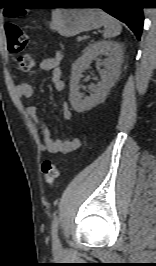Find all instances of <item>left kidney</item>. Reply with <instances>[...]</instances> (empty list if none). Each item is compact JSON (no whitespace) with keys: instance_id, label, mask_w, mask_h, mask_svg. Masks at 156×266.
Wrapping results in <instances>:
<instances>
[{"instance_id":"1","label":"left kidney","mask_w":156,"mask_h":266,"mask_svg":"<svg viewBox=\"0 0 156 266\" xmlns=\"http://www.w3.org/2000/svg\"><path fill=\"white\" fill-rule=\"evenodd\" d=\"M99 56H107L102 63L105 68L102 81L90 96H84L79 92V80L82 77L83 71L89 67L92 60ZM122 61V48L119 43L114 41H98L89 45L84 50L83 54L72 65L70 78L69 100L76 112L80 113L90 110L105 99L119 76Z\"/></svg>"}]
</instances>
